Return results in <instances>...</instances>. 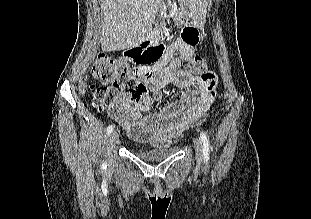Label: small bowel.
Wrapping results in <instances>:
<instances>
[{
	"label": "small bowel",
	"instance_id": "obj_1",
	"mask_svg": "<svg viewBox=\"0 0 311 219\" xmlns=\"http://www.w3.org/2000/svg\"><path fill=\"white\" fill-rule=\"evenodd\" d=\"M191 29L194 38L197 39V31ZM194 44L178 39L157 62L150 66L135 68L136 76L144 80L151 91H158L169 83L184 88L177 100L159 108L154 117L142 113L126 101L119 104L116 112L107 108L109 116L129 137L141 143L168 145L173 140L179 139L191 124L201 120L208 112L216 96L218 82L216 74L208 72L196 78L178 70H169L165 66L175 54L192 56ZM187 83L194 88H187Z\"/></svg>",
	"mask_w": 311,
	"mask_h": 219
}]
</instances>
